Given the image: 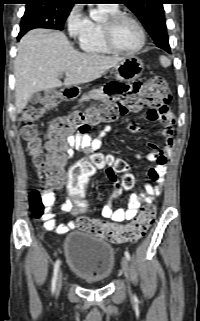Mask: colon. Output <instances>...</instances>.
I'll use <instances>...</instances> for the list:
<instances>
[{"instance_id":"1","label":"colon","mask_w":200,"mask_h":321,"mask_svg":"<svg viewBox=\"0 0 200 321\" xmlns=\"http://www.w3.org/2000/svg\"><path fill=\"white\" fill-rule=\"evenodd\" d=\"M136 83H143L144 89L136 90L134 98L123 96V100L116 104L86 107L67 116L56 118L49 128L46 153L42 149L35 122L46 110L56 106L55 93H47L43 97L40 107L32 106L24 111L20 119L21 136L42 187V191L34 189L29 193V208L35 218H42L48 212V208L43 202V193L49 190L56 181L66 178L68 185L64 196L71 198L74 211L83 215L89 207V202L85 197V185L97 169L108 163L103 156L92 155L75 163L66 175L64 166L68 148L65 139L70 132L76 130L80 134H85L93 126L101 122L113 121L129 111H138L144 107L163 109L170 102V90L165 80L160 76H153L144 82ZM113 166L117 172L127 170L126 162L121 159H116ZM133 182L131 175L127 174L123 177L125 188H131ZM155 216V205L146 204L142 207L137 218L125 225L113 224L97 218L80 217L77 220V226L79 229L104 237L113 243H128L143 237L152 225Z\"/></svg>"}]
</instances>
